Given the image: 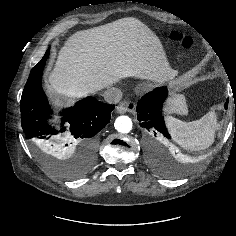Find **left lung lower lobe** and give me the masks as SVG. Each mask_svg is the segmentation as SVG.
I'll return each mask as SVG.
<instances>
[{"mask_svg":"<svg viewBox=\"0 0 236 236\" xmlns=\"http://www.w3.org/2000/svg\"><path fill=\"white\" fill-rule=\"evenodd\" d=\"M168 94L166 87L156 88L144 95L137 105V119L140 126L147 129L152 136L163 135L170 138L162 115L163 102ZM228 107V100L225 109Z\"/></svg>","mask_w":236,"mask_h":236,"instance_id":"left-lung-lower-lobe-1","label":"left lung lower lobe"}]
</instances>
